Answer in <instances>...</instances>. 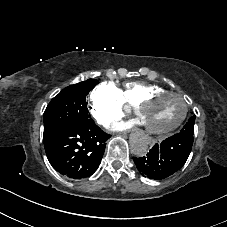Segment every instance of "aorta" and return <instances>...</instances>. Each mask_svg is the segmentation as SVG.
Masks as SVG:
<instances>
[{"label": "aorta", "mask_w": 227, "mask_h": 227, "mask_svg": "<svg viewBox=\"0 0 227 227\" xmlns=\"http://www.w3.org/2000/svg\"><path fill=\"white\" fill-rule=\"evenodd\" d=\"M148 148V140L143 136L133 138L131 141V152L136 157L145 156L147 154Z\"/></svg>", "instance_id": "762f6f07"}]
</instances>
